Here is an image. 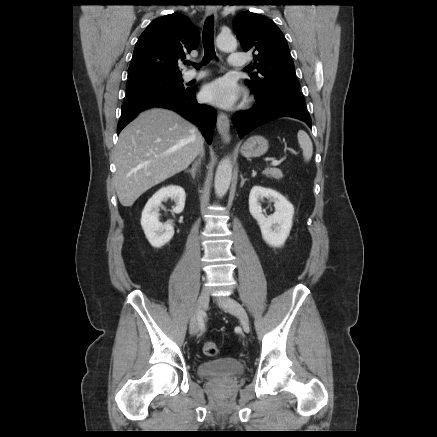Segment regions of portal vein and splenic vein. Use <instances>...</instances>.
<instances>
[{
	"label": "portal vein and splenic vein",
	"mask_w": 437,
	"mask_h": 437,
	"mask_svg": "<svg viewBox=\"0 0 437 437\" xmlns=\"http://www.w3.org/2000/svg\"><path fill=\"white\" fill-rule=\"evenodd\" d=\"M279 164H280V161L274 160V161H272L271 166H272V167H276V166H278Z\"/></svg>",
	"instance_id": "portal-vein-and-splenic-vein-1"
}]
</instances>
